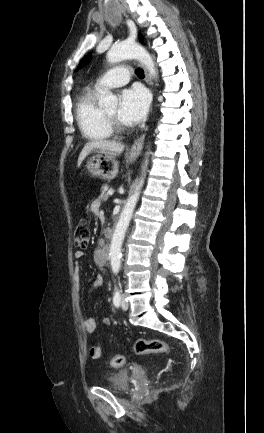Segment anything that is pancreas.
<instances>
[{"label": "pancreas", "mask_w": 264, "mask_h": 433, "mask_svg": "<svg viewBox=\"0 0 264 433\" xmlns=\"http://www.w3.org/2000/svg\"><path fill=\"white\" fill-rule=\"evenodd\" d=\"M101 189H102V191H101V194L99 196V199L102 202H105L108 199V196H109L108 193H107V191L109 190L108 184H104Z\"/></svg>", "instance_id": "1"}]
</instances>
